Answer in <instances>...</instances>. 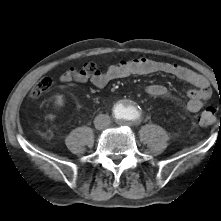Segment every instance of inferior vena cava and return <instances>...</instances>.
Listing matches in <instances>:
<instances>
[{
  "instance_id": "1",
  "label": "inferior vena cava",
  "mask_w": 221,
  "mask_h": 221,
  "mask_svg": "<svg viewBox=\"0 0 221 221\" xmlns=\"http://www.w3.org/2000/svg\"><path fill=\"white\" fill-rule=\"evenodd\" d=\"M110 117L106 114H99L95 117L94 125L98 130L106 129L110 125Z\"/></svg>"
}]
</instances>
